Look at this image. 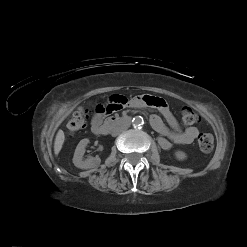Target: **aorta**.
I'll return each instance as SVG.
<instances>
[{
    "instance_id": "obj_1",
    "label": "aorta",
    "mask_w": 247,
    "mask_h": 247,
    "mask_svg": "<svg viewBox=\"0 0 247 247\" xmlns=\"http://www.w3.org/2000/svg\"><path fill=\"white\" fill-rule=\"evenodd\" d=\"M132 123H133V126L134 127H141V126H143V124H144L143 117H141V116L134 117L133 120H132Z\"/></svg>"
}]
</instances>
